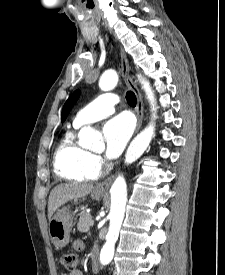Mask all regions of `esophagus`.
<instances>
[{"instance_id":"esophagus-1","label":"esophagus","mask_w":225,"mask_h":275,"mask_svg":"<svg viewBox=\"0 0 225 275\" xmlns=\"http://www.w3.org/2000/svg\"><path fill=\"white\" fill-rule=\"evenodd\" d=\"M120 58H121V68H122V74L124 81L126 85L135 93L137 98V106H136V116H137V126H136V132L139 131V129L142 126L143 122V116H144V108H143V98L142 95L137 87V85L133 82L132 77L130 75V67L129 62L126 56V53L123 51V49H120ZM115 178V175L109 177L102 183H100L97 188L98 189H108L110 185L112 184L113 180Z\"/></svg>"}]
</instances>
